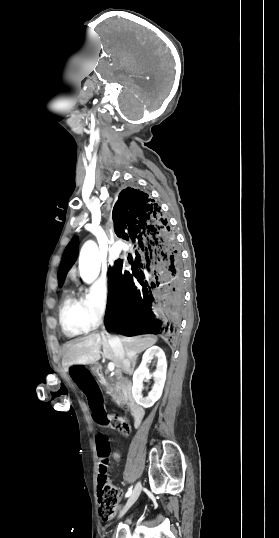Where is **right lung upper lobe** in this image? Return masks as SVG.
I'll return each mask as SVG.
<instances>
[{
	"mask_svg": "<svg viewBox=\"0 0 279 538\" xmlns=\"http://www.w3.org/2000/svg\"><path fill=\"white\" fill-rule=\"evenodd\" d=\"M123 334H133V332H129V333H123Z\"/></svg>",
	"mask_w": 279,
	"mask_h": 538,
	"instance_id": "1",
	"label": "right lung upper lobe"
}]
</instances>
